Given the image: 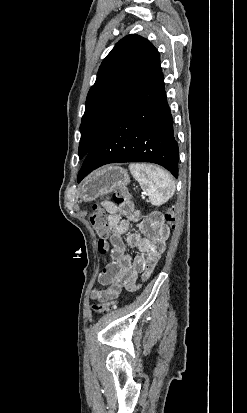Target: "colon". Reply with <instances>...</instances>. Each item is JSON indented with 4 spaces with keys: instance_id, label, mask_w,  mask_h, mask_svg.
Returning a JSON list of instances; mask_svg holds the SVG:
<instances>
[{
    "instance_id": "1",
    "label": "colon",
    "mask_w": 247,
    "mask_h": 413,
    "mask_svg": "<svg viewBox=\"0 0 247 413\" xmlns=\"http://www.w3.org/2000/svg\"><path fill=\"white\" fill-rule=\"evenodd\" d=\"M112 200L115 203H122L124 207H131L133 203L136 202L135 196H130L128 198L127 191L122 188L118 187L115 189L111 196ZM163 215L165 216V222L168 227H172L175 222V212L173 207L165 208L163 210ZM90 220L93 221L92 226L94 227V232L97 234L99 241H98V251L100 253H107L109 251V241H108V227L106 222V216L104 211L100 210L97 205L94 206L93 212L91 214ZM117 300L116 298H111L106 300L103 303L93 304L92 311L96 315H101L113 307L116 306Z\"/></svg>"
}]
</instances>
